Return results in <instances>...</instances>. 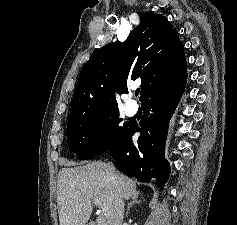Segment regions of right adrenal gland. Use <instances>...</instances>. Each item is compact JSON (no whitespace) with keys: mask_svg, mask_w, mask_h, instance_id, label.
<instances>
[{"mask_svg":"<svg viewBox=\"0 0 237 225\" xmlns=\"http://www.w3.org/2000/svg\"><path fill=\"white\" fill-rule=\"evenodd\" d=\"M139 196H140V193L139 192H136L132 195L131 197V202L128 204V207H127V212L126 214L128 215L129 212H130V208L134 205V204H139L141 203V200H139Z\"/></svg>","mask_w":237,"mask_h":225,"instance_id":"right-adrenal-gland-1","label":"right adrenal gland"}]
</instances>
